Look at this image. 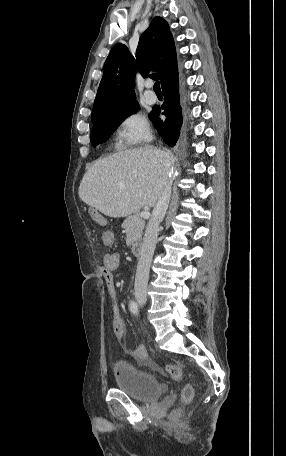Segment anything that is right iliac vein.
Here are the masks:
<instances>
[{
    "label": "right iliac vein",
    "mask_w": 286,
    "mask_h": 456,
    "mask_svg": "<svg viewBox=\"0 0 286 456\" xmlns=\"http://www.w3.org/2000/svg\"><path fill=\"white\" fill-rule=\"evenodd\" d=\"M136 299H137V302L141 305H144L146 303V298L143 296H137Z\"/></svg>",
    "instance_id": "obj_1"
}]
</instances>
